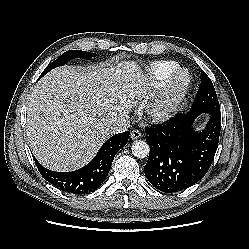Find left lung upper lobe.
Returning a JSON list of instances; mask_svg holds the SVG:
<instances>
[{
    "mask_svg": "<svg viewBox=\"0 0 249 249\" xmlns=\"http://www.w3.org/2000/svg\"><path fill=\"white\" fill-rule=\"evenodd\" d=\"M191 111H220L219 101L213 83L203 70L201 71V84L191 107Z\"/></svg>",
    "mask_w": 249,
    "mask_h": 249,
    "instance_id": "1",
    "label": "left lung upper lobe"
}]
</instances>
